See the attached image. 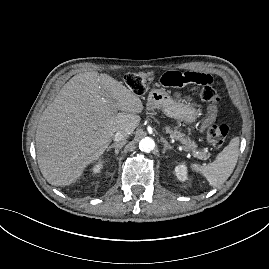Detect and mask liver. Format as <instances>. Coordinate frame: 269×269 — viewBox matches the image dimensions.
<instances>
[{
    "mask_svg": "<svg viewBox=\"0 0 269 269\" xmlns=\"http://www.w3.org/2000/svg\"><path fill=\"white\" fill-rule=\"evenodd\" d=\"M143 109L138 95L108 74L91 71L72 77L37 125V161L44 178L55 186L76 182L117 131L133 133Z\"/></svg>",
    "mask_w": 269,
    "mask_h": 269,
    "instance_id": "1",
    "label": "liver"
}]
</instances>
